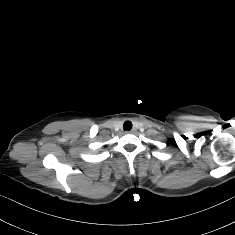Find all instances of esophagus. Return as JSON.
<instances>
[{"mask_svg": "<svg viewBox=\"0 0 235 235\" xmlns=\"http://www.w3.org/2000/svg\"><path fill=\"white\" fill-rule=\"evenodd\" d=\"M135 132V129H132L129 131V133H134Z\"/></svg>", "mask_w": 235, "mask_h": 235, "instance_id": "1", "label": "esophagus"}]
</instances>
